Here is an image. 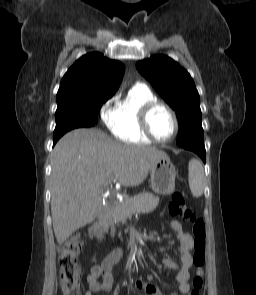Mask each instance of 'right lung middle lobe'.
Returning a JSON list of instances; mask_svg holds the SVG:
<instances>
[{
  "label": "right lung middle lobe",
  "instance_id": "dd1d6c3e",
  "mask_svg": "<svg viewBox=\"0 0 256 295\" xmlns=\"http://www.w3.org/2000/svg\"><path fill=\"white\" fill-rule=\"evenodd\" d=\"M108 98L91 99L80 103L60 104L57 107L54 135L64 134L67 131L86 127L88 120L97 123L98 112Z\"/></svg>",
  "mask_w": 256,
  "mask_h": 295
}]
</instances>
